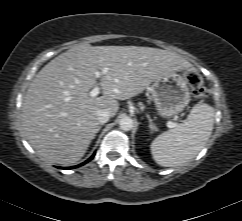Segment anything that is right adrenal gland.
<instances>
[{
    "label": "right adrenal gland",
    "mask_w": 242,
    "mask_h": 221,
    "mask_svg": "<svg viewBox=\"0 0 242 221\" xmlns=\"http://www.w3.org/2000/svg\"><path fill=\"white\" fill-rule=\"evenodd\" d=\"M101 129V126H99L98 131Z\"/></svg>",
    "instance_id": "2a0ac1e0"
}]
</instances>
